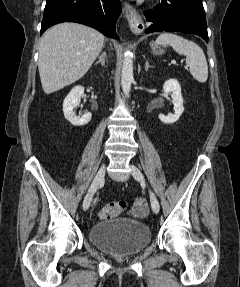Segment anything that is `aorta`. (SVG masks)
Wrapping results in <instances>:
<instances>
[{
    "mask_svg": "<svg viewBox=\"0 0 240 287\" xmlns=\"http://www.w3.org/2000/svg\"><path fill=\"white\" fill-rule=\"evenodd\" d=\"M133 82V61L130 52H126L124 56L122 73H121V86L125 95H128L131 90Z\"/></svg>",
    "mask_w": 240,
    "mask_h": 287,
    "instance_id": "762f6f07",
    "label": "aorta"
}]
</instances>
